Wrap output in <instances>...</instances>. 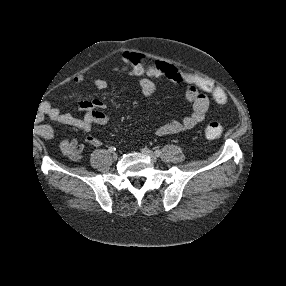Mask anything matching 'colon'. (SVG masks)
Masks as SVG:
<instances>
[{
    "mask_svg": "<svg viewBox=\"0 0 286 286\" xmlns=\"http://www.w3.org/2000/svg\"><path fill=\"white\" fill-rule=\"evenodd\" d=\"M123 62L125 71L135 74H147L153 77H168V68L164 63L148 59L140 54L127 53L123 57ZM189 77L195 81L200 89L212 93L217 103H225L226 98L222 90L217 89L209 80L191 73ZM83 80V76L77 78L78 83L83 82ZM223 130L224 128L221 123L210 122L204 129V135L207 139H217L222 135Z\"/></svg>",
    "mask_w": 286,
    "mask_h": 286,
    "instance_id": "colon-1",
    "label": "colon"
}]
</instances>
